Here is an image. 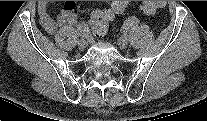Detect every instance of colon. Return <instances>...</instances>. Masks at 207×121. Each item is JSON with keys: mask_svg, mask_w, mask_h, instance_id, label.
<instances>
[{"mask_svg": "<svg viewBox=\"0 0 207 121\" xmlns=\"http://www.w3.org/2000/svg\"><path fill=\"white\" fill-rule=\"evenodd\" d=\"M163 6V1H144L140 4V10L146 15H152ZM126 10L127 3L125 1H113L110 3V8L93 11L90 18L93 32L96 35H103L107 31L113 16L123 14Z\"/></svg>", "mask_w": 207, "mask_h": 121, "instance_id": "1", "label": "colon"}]
</instances>
